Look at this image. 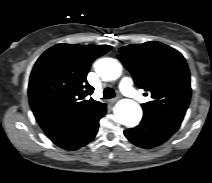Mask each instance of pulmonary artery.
<instances>
[{
  "label": "pulmonary artery",
  "instance_id": "e3ab8cb5",
  "mask_svg": "<svg viewBox=\"0 0 212 183\" xmlns=\"http://www.w3.org/2000/svg\"><path fill=\"white\" fill-rule=\"evenodd\" d=\"M120 90L128 97H131L139 102H146V98L133 88L132 80L124 77L119 83Z\"/></svg>",
  "mask_w": 212,
  "mask_h": 183
}]
</instances>
